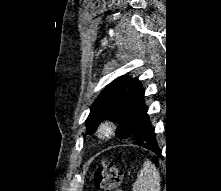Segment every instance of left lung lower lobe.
<instances>
[{"mask_svg":"<svg viewBox=\"0 0 221 191\" xmlns=\"http://www.w3.org/2000/svg\"><path fill=\"white\" fill-rule=\"evenodd\" d=\"M133 92L131 96V113L132 118H134L136 124V130L141 133L142 138L146 140L153 141V138H156L154 132V127L149 122V116L147 114L146 106L144 104V89L137 79L134 80ZM147 149L159 153L158 143L156 145L149 144L148 146H143Z\"/></svg>","mask_w":221,"mask_h":191,"instance_id":"obj_1","label":"left lung lower lobe"}]
</instances>
